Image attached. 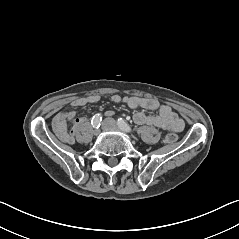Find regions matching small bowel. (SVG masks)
I'll return each instance as SVG.
<instances>
[{
  "label": "small bowel",
  "mask_w": 239,
  "mask_h": 239,
  "mask_svg": "<svg viewBox=\"0 0 239 239\" xmlns=\"http://www.w3.org/2000/svg\"><path fill=\"white\" fill-rule=\"evenodd\" d=\"M100 100L99 95H90L87 97H82L76 99L72 102V107L74 110L71 111H61L59 112L53 120V129L56 135L66 143H74L76 130L71 131L67 128V122L70 121L73 125L79 126L85 122L82 117L75 116V110L84 107L88 104L96 103ZM111 100L115 103L124 102L132 109H147V110H157L156 115H146L141 111H137L133 115V120L138 125H151L160 127L162 129L180 132L184 128V121L172 110L169 105L162 104L154 98L148 97H121L118 94H114ZM108 114H112L109 112Z\"/></svg>",
  "instance_id": "small-bowel-1"
}]
</instances>
